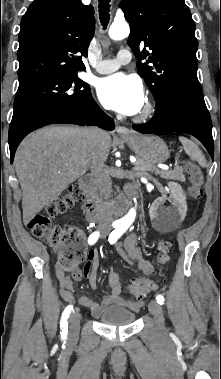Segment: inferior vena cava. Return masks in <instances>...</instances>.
Here are the masks:
<instances>
[{"mask_svg": "<svg viewBox=\"0 0 221 379\" xmlns=\"http://www.w3.org/2000/svg\"><path fill=\"white\" fill-rule=\"evenodd\" d=\"M102 133L103 131L98 128H88L85 131L86 136L94 142H97ZM91 175L99 187L100 194L104 196L105 200L109 199L112 193V181L104 162L97 160L95 157L91 165ZM112 220V214L107 209L101 220V227L107 228Z\"/></svg>", "mask_w": 221, "mask_h": 379, "instance_id": "1", "label": "inferior vena cava"}]
</instances>
